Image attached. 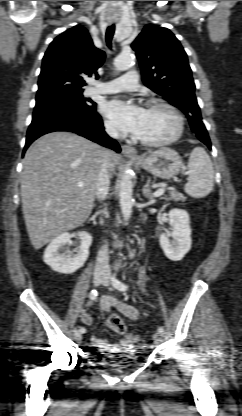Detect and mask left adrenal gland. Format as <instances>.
<instances>
[{
	"mask_svg": "<svg viewBox=\"0 0 242 416\" xmlns=\"http://www.w3.org/2000/svg\"><path fill=\"white\" fill-rule=\"evenodd\" d=\"M150 183H151V178L149 177V178L147 179L146 184L144 185V187H143V189H142V193H143V196H144V197H146V198H148V199L152 200V199H153V194H152V188H151V186H150Z\"/></svg>",
	"mask_w": 242,
	"mask_h": 416,
	"instance_id": "a2214340",
	"label": "left adrenal gland"
}]
</instances>
